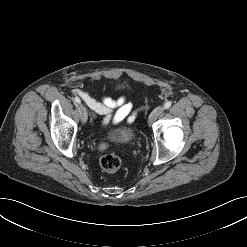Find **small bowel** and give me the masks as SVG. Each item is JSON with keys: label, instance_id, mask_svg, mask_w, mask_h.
Returning <instances> with one entry per match:
<instances>
[{"label": "small bowel", "instance_id": "obj_1", "mask_svg": "<svg viewBox=\"0 0 247 247\" xmlns=\"http://www.w3.org/2000/svg\"><path fill=\"white\" fill-rule=\"evenodd\" d=\"M74 93L80 96L94 113L103 116L102 124L104 126L123 121L132 122L135 118L133 104L124 96L117 98L102 96L97 100L81 89H75Z\"/></svg>", "mask_w": 247, "mask_h": 247}]
</instances>
